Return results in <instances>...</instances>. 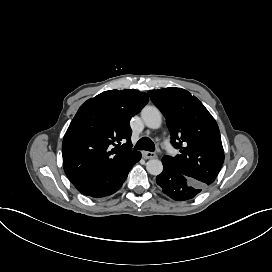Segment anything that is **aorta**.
I'll return each mask as SVG.
<instances>
[{"label": "aorta", "instance_id": "obj_1", "mask_svg": "<svg viewBox=\"0 0 272 272\" xmlns=\"http://www.w3.org/2000/svg\"><path fill=\"white\" fill-rule=\"evenodd\" d=\"M141 117L149 128L157 129L161 126L162 115L156 106L146 105L141 110ZM146 169L151 175L156 176L162 173L163 165L159 159H151L146 163Z\"/></svg>", "mask_w": 272, "mask_h": 272}]
</instances>
